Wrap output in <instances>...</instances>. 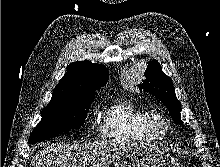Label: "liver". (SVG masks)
<instances>
[{"label":"liver","mask_w":220,"mask_h":167,"mask_svg":"<svg viewBox=\"0 0 220 167\" xmlns=\"http://www.w3.org/2000/svg\"><path fill=\"white\" fill-rule=\"evenodd\" d=\"M126 148L125 142L112 140L59 142L38 151L30 167H110Z\"/></svg>","instance_id":"obj_1"}]
</instances>
